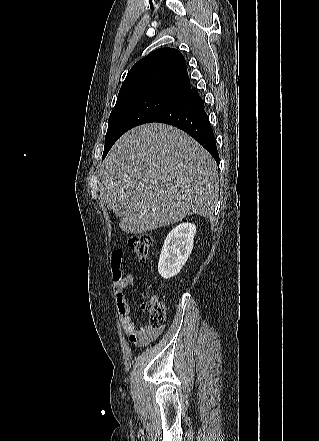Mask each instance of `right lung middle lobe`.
<instances>
[{
  "label": "right lung middle lobe",
  "instance_id": "dd1d6c3e",
  "mask_svg": "<svg viewBox=\"0 0 319 441\" xmlns=\"http://www.w3.org/2000/svg\"><path fill=\"white\" fill-rule=\"evenodd\" d=\"M170 104L172 102L164 99L142 97L127 100L116 105L108 120L103 158L122 134L135 126L148 123L151 118Z\"/></svg>",
  "mask_w": 319,
  "mask_h": 441
}]
</instances>
